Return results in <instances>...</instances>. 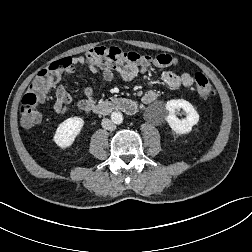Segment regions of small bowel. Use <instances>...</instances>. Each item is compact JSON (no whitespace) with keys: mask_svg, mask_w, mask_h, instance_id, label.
Instances as JSON below:
<instances>
[{"mask_svg":"<svg viewBox=\"0 0 252 252\" xmlns=\"http://www.w3.org/2000/svg\"><path fill=\"white\" fill-rule=\"evenodd\" d=\"M71 67L65 72L71 74L74 72V65H79L82 67L85 73L96 74L98 68L91 61H86L84 57L77 56L70 58ZM118 75L124 81L133 80L139 73V68L136 66H130L127 68L119 67L117 70ZM103 79L110 82L114 79V71L112 68H103L102 70ZM162 82L171 89H178L180 87L190 88L193 85V77L187 73L183 72L180 74L174 73L172 71H164L161 74ZM53 85L52 87H54ZM83 99L75 101V99L69 94L66 88L60 84L55 87V103L54 109L58 113H65L69 107L76 105L80 109L85 110L87 107L96 103V95L92 87L86 86L82 90ZM157 99V93L153 90H148L144 93L142 100L145 104H151Z\"/></svg>","mask_w":252,"mask_h":252,"instance_id":"1","label":"small bowel"}]
</instances>
